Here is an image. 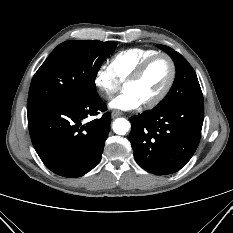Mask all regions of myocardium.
Returning <instances> with one entry per match:
<instances>
[{"label": "myocardium", "instance_id": "f54148a6", "mask_svg": "<svg viewBox=\"0 0 233 233\" xmlns=\"http://www.w3.org/2000/svg\"><path fill=\"white\" fill-rule=\"evenodd\" d=\"M158 58H166L168 60V62L170 64V68H171L170 77H169V80H168L167 84L165 85L164 89L161 91V93L158 96H156L154 99H152L148 102L142 103L144 108H153V107L157 106L165 99V97L170 92V90L175 82V79H176V65L174 63V60L166 53H157V54L147 58L145 61H143L136 68V70L131 74V76H129L123 83V87H125L128 84H132V83L137 82L143 76L144 72L149 67V65Z\"/></svg>", "mask_w": 233, "mask_h": 233}]
</instances>
